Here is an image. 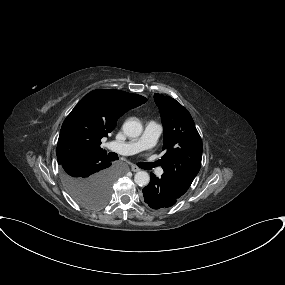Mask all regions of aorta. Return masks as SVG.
<instances>
[{
  "label": "aorta",
  "instance_id": "1",
  "mask_svg": "<svg viewBox=\"0 0 285 285\" xmlns=\"http://www.w3.org/2000/svg\"><path fill=\"white\" fill-rule=\"evenodd\" d=\"M142 131L143 126L137 118H130L123 124V132L128 137H139ZM134 181L139 186H146L150 181V176L146 171H139L135 174Z\"/></svg>",
  "mask_w": 285,
  "mask_h": 285
}]
</instances>
